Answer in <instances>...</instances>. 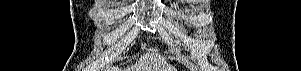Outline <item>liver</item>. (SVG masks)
Wrapping results in <instances>:
<instances>
[{"instance_id":"1","label":"liver","mask_w":301,"mask_h":71,"mask_svg":"<svg viewBox=\"0 0 301 71\" xmlns=\"http://www.w3.org/2000/svg\"><path fill=\"white\" fill-rule=\"evenodd\" d=\"M148 63L149 62H144V59H143V62H141L139 64H135L131 68H127V70H111V71H145V70H141V69H151V66L148 67ZM167 69H171L168 71H176L175 68H173L171 66H167Z\"/></svg>"}]
</instances>
